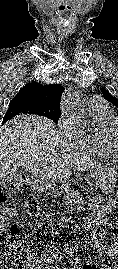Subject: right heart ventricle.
<instances>
[{"mask_svg": "<svg viewBox=\"0 0 118 269\" xmlns=\"http://www.w3.org/2000/svg\"><path fill=\"white\" fill-rule=\"evenodd\" d=\"M94 129L85 134L84 138L74 144L83 153L101 157L118 159V148L113 145L111 127L118 120V114L108 104L97 108H89Z\"/></svg>", "mask_w": 118, "mask_h": 269, "instance_id": "1", "label": "right heart ventricle"}]
</instances>
